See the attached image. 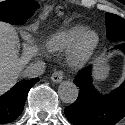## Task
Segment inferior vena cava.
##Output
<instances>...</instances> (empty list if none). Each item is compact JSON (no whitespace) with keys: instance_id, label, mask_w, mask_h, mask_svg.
<instances>
[{"instance_id":"1","label":"inferior vena cava","mask_w":125,"mask_h":125,"mask_svg":"<svg viewBox=\"0 0 125 125\" xmlns=\"http://www.w3.org/2000/svg\"><path fill=\"white\" fill-rule=\"evenodd\" d=\"M45 70V63L43 61H37L30 64L24 71L23 76L26 78H36L43 74Z\"/></svg>"}]
</instances>
